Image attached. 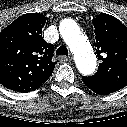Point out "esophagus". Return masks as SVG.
I'll list each match as a JSON object with an SVG mask.
<instances>
[{
    "label": "esophagus",
    "mask_w": 127,
    "mask_h": 127,
    "mask_svg": "<svg viewBox=\"0 0 127 127\" xmlns=\"http://www.w3.org/2000/svg\"><path fill=\"white\" fill-rule=\"evenodd\" d=\"M58 60H59L60 62H69V61L72 60V57L59 56V57H58Z\"/></svg>",
    "instance_id": "obj_1"
}]
</instances>
